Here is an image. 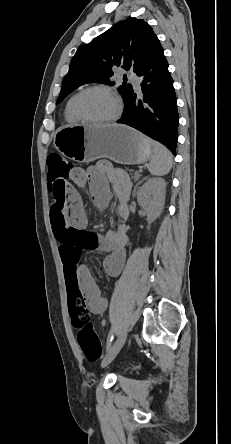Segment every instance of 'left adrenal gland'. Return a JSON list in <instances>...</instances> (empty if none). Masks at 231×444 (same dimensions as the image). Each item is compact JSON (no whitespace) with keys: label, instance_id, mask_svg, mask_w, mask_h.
<instances>
[{"label":"left adrenal gland","instance_id":"1","mask_svg":"<svg viewBox=\"0 0 231 444\" xmlns=\"http://www.w3.org/2000/svg\"><path fill=\"white\" fill-rule=\"evenodd\" d=\"M142 181H143V180H142ZM142 181H140L138 184H140ZM138 184H137V185H138ZM137 185L135 186V188L137 187Z\"/></svg>","mask_w":231,"mask_h":444}]
</instances>
